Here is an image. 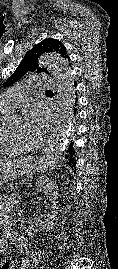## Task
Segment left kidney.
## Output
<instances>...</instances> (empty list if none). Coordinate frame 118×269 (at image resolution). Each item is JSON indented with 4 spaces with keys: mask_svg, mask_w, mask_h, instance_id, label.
I'll return each instance as SVG.
<instances>
[{
    "mask_svg": "<svg viewBox=\"0 0 118 269\" xmlns=\"http://www.w3.org/2000/svg\"><path fill=\"white\" fill-rule=\"evenodd\" d=\"M58 187L55 182L50 180L47 177H41L35 185V191L41 192L43 191L46 195L47 199L51 202V213L48 214L47 218H43L42 216H36L34 221L39 229L43 231H48L53 228L54 221L56 220V215L58 214L59 207L56 203L58 198Z\"/></svg>",
    "mask_w": 118,
    "mask_h": 269,
    "instance_id": "5707ae66",
    "label": "left kidney"
}]
</instances>
